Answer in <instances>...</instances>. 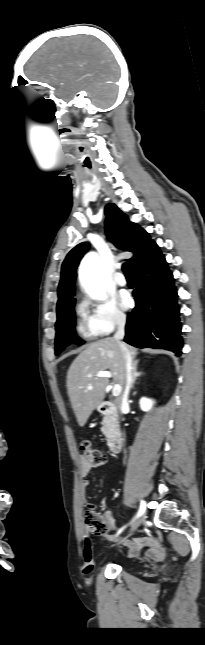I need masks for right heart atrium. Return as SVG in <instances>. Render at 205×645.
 Returning a JSON list of instances; mask_svg holds the SVG:
<instances>
[{"label":"right heart atrium","mask_w":205,"mask_h":645,"mask_svg":"<svg viewBox=\"0 0 205 645\" xmlns=\"http://www.w3.org/2000/svg\"><path fill=\"white\" fill-rule=\"evenodd\" d=\"M80 311L85 315L87 328L94 336L110 335L127 323L126 314L112 299L83 301Z\"/></svg>","instance_id":"right-heart-atrium-1"}]
</instances>
